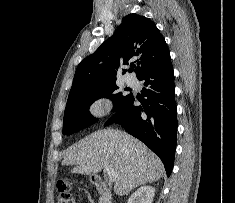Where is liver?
Masks as SVG:
<instances>
[{
	"label": "liver",
	"instance_id": "1",
	"mask_svg": "<svg viewBox=\"0 0 235 203\" xmlns=\"http://www.w3.org/2000/svg\"><path fill=\"white\" fill-rule=\"evenodd\" d=\"M62 165H75L74 173L97 174L109 168L118 173L117 195L159 180L164 167L159 157L133 136L113 129L98 130L68 148Z\"/></svg>",
	"mask_w": 235,
	"mask_h": 203
}]
</instances>
